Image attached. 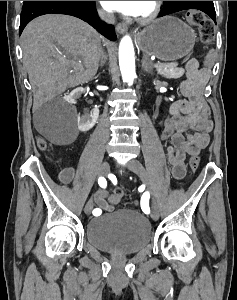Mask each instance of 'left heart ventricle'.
<instances>
[{"label":"left heart ventricle","instance_id":"b2bd125f","mask_svg":"<svg viewBox=\"0 0 237 300\" xmlns=\"http://www.w3.org/2000/svg\"><path fill=\"white\" fill-rule=\"evenodd\" d=\"M150 1H144L141 8L139 9L138 13L136 14L137 16L138 15H142L144 13H146L148 10H149V7H150Z\"/></svg>","mask_w":237,"mask_h":300}]
</instances>
